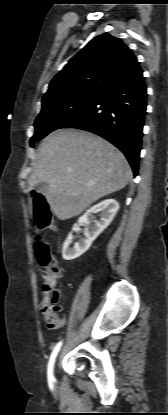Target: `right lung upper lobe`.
Masks as SVG:
<instances>
[{
	"mask_svg": "<svg viewBox=\"0 0 168 415\" xmlns=\"http://www.w3.org/2000/svg\"><path fill=\"white\" fill-rule=\"evenodd\" d=\"M139 63L124 42L108 33L92 39L52 79L42 102L79 90H104Z\"/></svg>",
	"mask_w": 168,
	"mask_h": 415,
	"instance_id": "obj_1",
	"label": "right lung upper lobe"
}]
</instances>
